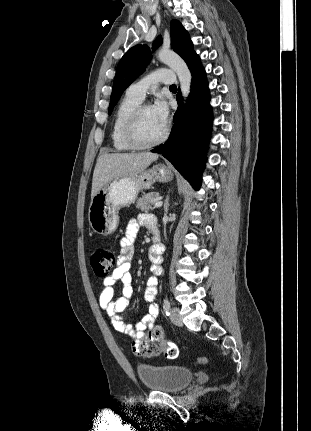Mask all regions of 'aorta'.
Listing matches in <instances>:
<instances>
[{
  "instance_id": "obj_1",
  "label": "aorta",
  "mask_w": 311,
  "mask_h": 431,
  "mask_svg": "<svg viewBox=\"0 0 311 431\" xmlns=\"http://www.w3.org/2000/svg\"><path fill=\"white\" fill-rule=\"evenodd\" d=\"M157 56L160 62H163V64L169 66L173 72H176L179 78L182 96L184 100H186L190 94L192 80L188 66H186L184 60H182L180 56H177V54H175V52H171V50H159Z\"/></svg>"
}]
</instances>
